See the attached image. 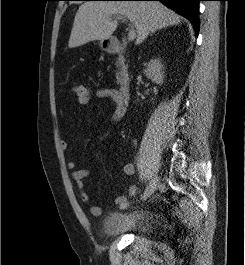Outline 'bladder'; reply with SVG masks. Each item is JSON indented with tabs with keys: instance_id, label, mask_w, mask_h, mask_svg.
Masks as SVG:
<instances>
[{
	"instance_id": "1",
	"label": "bladder",
	"mask_w": 245,
	"mask_h": 265,
	"mask_svg": "<svg viewBox=\"0 0 245 265\" xmlns=\"http://www.w3.org/2000/svg\"><path fill=\"white\" fill-rule=\"evenodd\" d=\"M101 228L104 235L144 234L156 230L157 224L146 212L110 211L104 215Z\"/></svg>"
}]
</instances>
